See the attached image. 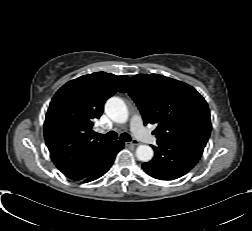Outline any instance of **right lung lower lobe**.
I'll use <instances>...</instances> for the list:
<instances>
[{
    "instance_id": "obj_1",
    "label": "right lung lower lobe",
    "mask_w": 252,
    "mask_h": 231,
    "mask_svg": "<svg viewBox=\"0 0 252 231\" xmlns=\"http://www.w3.org/2000/svg\"><path fill=\"white\" fill-rule=\"evenodd\" d=\"M124 147L122 141H115L110 150L94 164L90 174L82 179L83 182H90L104 175L112 166L116 154Z\"/></svg>"
}]
</instances>
